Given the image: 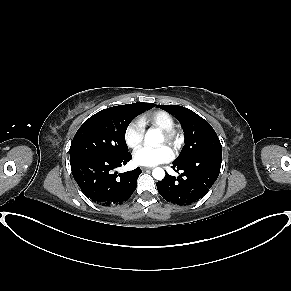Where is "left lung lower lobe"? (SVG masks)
Wrapping results in <instances>:
<instances>
[{"label":"left lung lower lobe","instance_id":"obj_1","mask_svg":"<svg viewBox=\"0 0 291 291\" xmlns=\"http://www.w3.org/2000/svg\"><path fill=\"white\" fill-rule=\"evenodd\" d=\"M222 150L200 153L173 161V169L180 176L166 175L156 183L160 195L168 202L189 205L202 198L212 187L220 173Z\"/></svg>","mask_w":291,"mask_h":291}]
</instances>
